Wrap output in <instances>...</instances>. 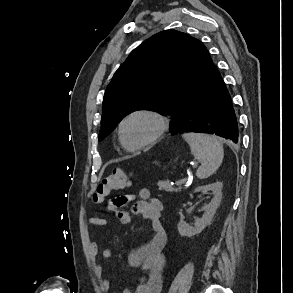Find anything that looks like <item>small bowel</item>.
<instances>
[{
  "label": "small bowel",
  "instance_id": "obj_1",
  "mask_svg": "<svg viewBox=\"0 0 293 293\" xmlns=\"http://www.w3.org/2000/svg\"><path fill=\"white\" fill-rule=\"evenodd\" d=\"M130 203H132L131 210H125L124 207ZM107 208L123 225L130 223L132 215L142 216L148 224L150 234V240L134 247L128 256L129 266L139 272V279L136 284L124 288L122 293H161L165 265L164 250L167 242L166 232L160 222L162 202L158 198H152L148 189L142 188L136 193L113 196L109 199ZM89 224L105 226L108 222L99 217H91ZM98 251V243L92 239L89 243L90 256L95 258ZM101 254L104 259H109L112 257V249L105 247ZM102 285L104 288H109L110 282L104 280Z\"/></svg>",
  "mask_w": 293,
  "mask_h": 293
}]
</instances>
